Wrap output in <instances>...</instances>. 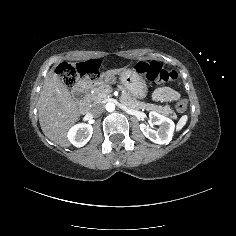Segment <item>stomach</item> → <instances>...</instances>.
I'll return each instance as SVG.
<instances>
[{
  "mask_svg": "<svg viewBox=\"0 0 236 236\" xmlns=\"http://www.w3.org/2000/svg\"><path fill=\"white\" fill-rule=\"evenodd\" d=\"M119 80L125 89L135 98L142 99L147 95V85L143 77L134 69H124L119 73ZM101 83L114 82V76H104Z\"/></svg>",
  "mask_w": 236,
  "mask_h": 236,
  "instance_id": "obj_1",
  "label": "stomach"
}]
</instances>
